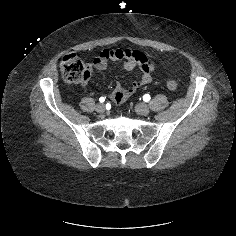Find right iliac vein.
Masks as SVG:
<instances>
[{
	"label": "right iliac vein",
	"instance_id": "right-iliac-vein-1",
	"mask_svg": "<svg viewBox=\"0 0 236 236\" xmlns=\"http://www.w3.org/2000/svg\"><path fill=\"white\" fill-rule=\"evenodd\" d=\"M95 109L98 113H104L105 112V106H104V104H101V103L97 104Z\"/></svg>",
	"mask_w": 236,
	"mask_h": 236
}]
</instances>
